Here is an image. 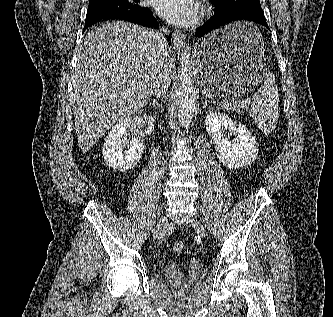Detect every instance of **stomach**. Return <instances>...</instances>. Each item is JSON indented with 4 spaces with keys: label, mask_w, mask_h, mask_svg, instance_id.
<instances>
[{
    "label": "stomach",
    "mask_w": 333,
    "mask_h": 317,
    "mask_svg": "<svg viewBox=\"0 0 333 317\" xmlns=\"http://www.w3.org/2000/svg\"><path fill=\"white\" fill-rule=\"evenodd\" d=\"M263 54L257 24L235 22L207 33L197 54L201 88L226 99L251 95L260 82H270Z\"/></svg>",
    "instance_id": "0dacf381"
}]
</instances>
